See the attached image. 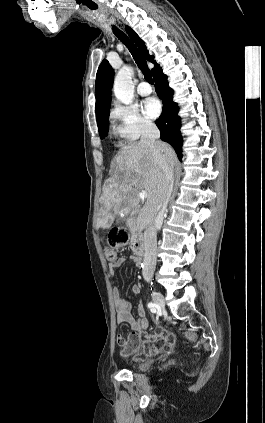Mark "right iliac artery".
Here are the masks:
<instances>
[{"label":"right iliac artery","instance_id":"obj_1","mask_svg":"<svg viewBox=\"0 0 265 423\" xmlns=\"http://www.w3.org/2000/svg\"><path fill=\"white\" fill-rule=\"evenodd\" d=\"M148 308L151 310V312L155 313L156 312V308H157V304L150 302L148 304Z\"/></svg>","mask_w":265,"mask_h":423}]
</instances>
